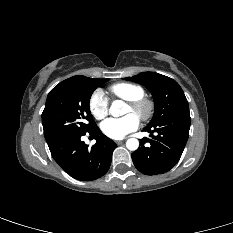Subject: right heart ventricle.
<instances>
[{
    "label": "right heart ventricle",
    "instance_id": "right-heart-ventricle-1",
    "mask_svg": "<svg viewBox=\"0 0 233 233\" xmlns=\"http://www.w3.org/2000/svg\"><path fill=\"white\" fill-rule=\"evenodd\" d=\"M109 92L114 98L127 102L143 97L145 94L144 89L140 85L130 82L112 84L109 87Z\"/></svg>",
    "mask_w": 233,
    "mask_h": 233
}]
</instances>
